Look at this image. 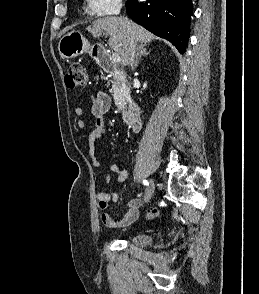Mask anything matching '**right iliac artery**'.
Masks as SVG:
<instances>
[{"mask_svg":"<svg viewBox=\"0 0 259 294\" xmlns=\"http://www.w3.org/2000/svg\"><path fill=\"white\" fill-rule=\"evenodd\" d=\"M143 184H144V185H149V183H148L147 180H144V181H143Z\"/></svg>","mask_w":259,"mask_h":294,"instance_id":"obj_1","label":"right iliac artery"}]
</instances>
